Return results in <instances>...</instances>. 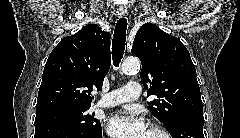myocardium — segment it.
<instances>
[{
    "label": "myocardium",
    "mask_w": 240,
    "mask_h": 138,
    "mask_svg": "<svg viewBox=\"0 0 240 138\" xmlns=\"http://www.w3.org/2000/svg\"><path fill=\"white\" fill-rule=\"evenodd\" d=\"M149 130L160 134L162 138H171L169 132L166 129H164V128L158 126V125L150 126Z\"/></svg>",
    "instance_id": "obj_1"
}]
</instances>
